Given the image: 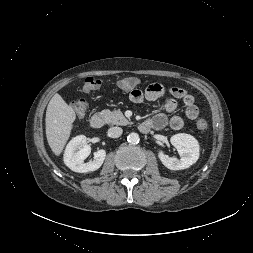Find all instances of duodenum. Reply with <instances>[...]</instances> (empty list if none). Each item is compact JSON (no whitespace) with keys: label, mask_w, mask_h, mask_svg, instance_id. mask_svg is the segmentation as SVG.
I'll return each instance as SVG.
<instances>
[{"label":"duodenum","mask_w":253,"mask_h":253,"mask_svg":"<svg viewBox=\"0 0 253 253\" xmlns=\"http://www.w3.org/2000/svg\"><path fill=\"white\" fill-rule=\"evenodd\" d=\"M105 124V118L101 113H95L90 119V125L92 128L99 129ZM152 128L149 121H145L139 125V129L142 132H148Z\"/></svg>","instance_id":"obj_1"}]
</instances>
